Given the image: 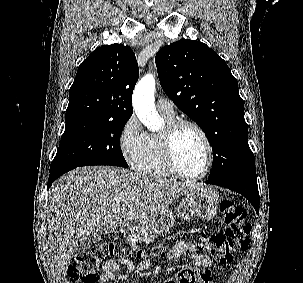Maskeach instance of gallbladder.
I'll return each mask as SVG.
<instances>
[{
    "instance_id": "bac80fb5",
    "label": "gallbladder",
    "mask_w": 303,
    "mask_h": 283,
    "mask_svg": "<svg viewBox=\"0 0 303 283\" xmlns=\"http://www.w3.org/2000/svg\"><path fill=\"white\" fill-rule=\"evenodd\" d=\"M100 240V236H93V235H83L80 237L77 243L78 250H86L88 249L93 243Z\"/></svg>"
}]
</instances>
